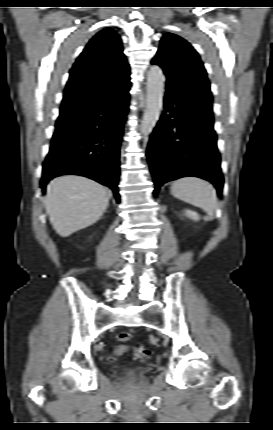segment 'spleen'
<instances>
[{
  "label": "spleen",
  "instance_id": "1",
  "mask_svg": "<svg viewBox=\"0 0 273 430\" xmlns=\"http://www.w3.org/2000/svg\"><path fill=\"white\" fill-rule=\"evenodd\" d=\"M172 195L184 202L202 208L213 215L218 207V199L212 184L198 177H182L173 182Z\"/></svg>",
  "mask_w": 273,
  "mask_h": 430
}]
</instances>
